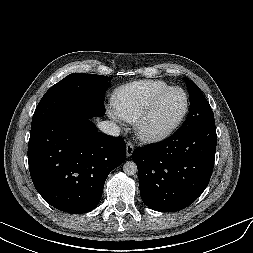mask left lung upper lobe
Listing matches in <instances>:
<instances>
[{
  "label": "left lung upper lobe",
  "instance_id": "5c2ea615",
  "mask_svg": "<svg viewBox=\"0 0 253 253\" xmlns=\"http://www.w3.org/2000/svg\"><path fill=\"white\" fill-rule=\"evenodd\" d=\"M185 81L189 90L190 111L179 130L187 131L215 123L212 109L200 88L192 80L185 78Z\"/></svg>",
  "mask_w": 253,
  "mask_h": 253
}]
</instances>
